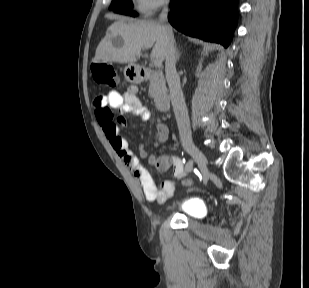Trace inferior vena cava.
I'll return each mask as SVG.
<instances>
[{"label":"inferior vena cava","mask_w":309,"mask_h":288,"mask_svg":"<svg viewBox=\"0 0 309 288\" xmlns=\"http://www.w3.org/2000/svg\"><path fill=\"white\" fill-rule=\"evenodd\" d=\"M168 3H166L159 16V22L162 25L166 36L167 48L165 56L166 80L170 90L171 102L177 121L180 140L183 145L191 144L192 137L189 127L188 111L185 104L184 95L180 85V78L176 71V50L172 28L167 24Z\"/></svg>","instance_id":"1"}]
</instances>
